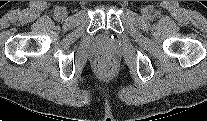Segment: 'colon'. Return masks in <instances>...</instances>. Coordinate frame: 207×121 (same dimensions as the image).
Returning a JSON list of instances; mask_svg holds the SVG:
<instances>
[{
  "mask_svg": "<svg viewBox=\"0 0 207 121\" xmlns=\"http://www.w3.org/2000/svg\"><path fill=\"white\" fill-rule=\"evenodd\" d=\"M96 67L101 73H110L116 67V60L110 53H102L97 56L95 61Z\"/></svg>",
  "mask_w": 207,
  "mask_h": 121,
  "instance_id": "1",
  "label": "colon"
}]
</instances>
